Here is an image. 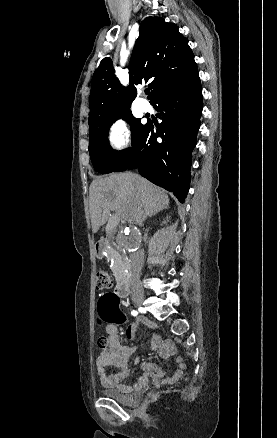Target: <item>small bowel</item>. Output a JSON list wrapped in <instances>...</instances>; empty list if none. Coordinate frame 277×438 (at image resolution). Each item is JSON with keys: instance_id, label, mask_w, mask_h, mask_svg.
Segmentation results:
<instances>
[{"instance_id": "small-bowel-1", "label": "small bowel", "mask_w": 277, "mask_h": 438, "mask_svg": "<svg viewBox=\"0 0 277 438\" xmlns=\"http://www.w3.org/2000/svg\"><path fill=\"white\" fill-rule=\"evenodd\" d=\"M126 331L129 337H134V326H127ZM106 333L108 335V345L102 348L96 359V366L98 369L97 374L99 375L100 381L104 387H112L118 389L120 392L128 393L133 389H142L151 378L158 381L165 378L163 372L153 365L152 360L145 359L142 362L144 372L142 373L140 380L133 388L128 386L125 381L130 374L128 364L133 350L131 347L121 342L119 331L116 326H107ZM151 335L153 336L152 341L155 343L154 347L158 349L161 357H168L173 353V350H170L173 347L172 342L167 341L165 344L161 345L162 337L157 336L158 332L153 330ZM175 362L177 363L178 368L175 374L171 377V381L178 380L186 369V365L180 357H176ZM106 366H115L118 370L111 374H107L105 372Z\"/></svg>"}]
</instances>
